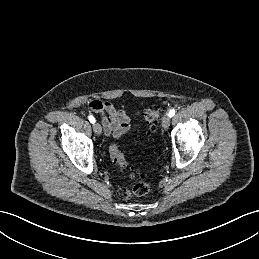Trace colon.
Listing matches in <instances>:
<instances>
[{
    "label": "colon",
    "mask_w": 259,
    "mask_h": 259,
    "mask_svg": "<svg viewBox=\"0 0 259 259\" xmlns=\"http://www.w3.org/2000/svg\"><path fill=\"white\" fill-rule=\"evenodd\" d=\"M163 110L159 106H152L147 108L143 113V118L151 132L158 128L160 118L162 116ZM109 155L111 160L119 165L121 168H128V164L125 161L124 155L117 145H111L109 147ZM132 172L135 171L133 167L129 168ZM149 184L143 180V176H140L137 182L130 188H121L118 191V196L126 200L132 196H142L148 193Z\"/></svg>",
    "instance_id": "1"
}]
</instances>
